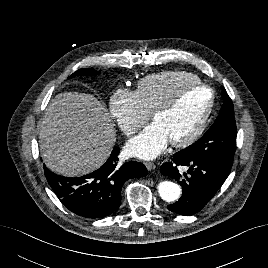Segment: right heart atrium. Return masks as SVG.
<instances>
[{
	"label": "right heart atrium",
	"instance_id": "d8ad5b80",
	"mask_svg": "<svg viewBox=\"0 0 268 268\" xmlns=\"http://www.w3.org/2000/svg\"><path fill=\"white\" fill-rule=\"evenodd\" d=\"M111 116L126 135H132L150 118L137 91L118 88L110 98Z\"/></svg>",
	"mask_w": 268,
	"mask_h": 268
}]
</instances>
